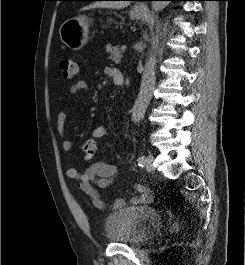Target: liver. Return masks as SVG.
<instances>
[{
    "label": "liver",
    "mask_w": 245,
    "mask_h": 265,
    "mask_svg": "<svg viewBox=\"0 0 245 265\" xmlns=\"http://www.w3.org/2000/svg\"><path fill=\"white\" fill-rule=\"evenodd\" d=\"M129 5L128 1H102L90 4L89 6L84 7L82 10H88L92 8H112V9H121Z\"/></svg>",
    "instance_id": "6515ba94"
}]
</instances>
